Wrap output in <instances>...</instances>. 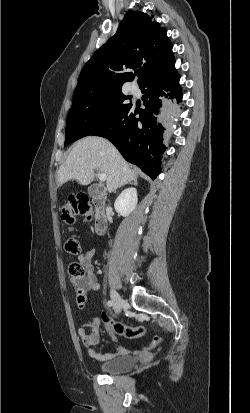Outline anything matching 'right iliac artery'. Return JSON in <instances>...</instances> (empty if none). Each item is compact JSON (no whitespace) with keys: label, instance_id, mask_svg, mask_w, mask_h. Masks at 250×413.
I'll use <instances>...</instances> for the list:
<instances>
[{"label":"right iliac artery","instance_id":"obj_1","mask_svg":"<svg viewBox=\"0 0 250 413\" xmlns=\"http://www.w3.org/2000/svg\"><path fill=\"white\" fill-rule=\"evenodd\" d=\"M112 305H113V302H112L111 300H109V301L107 302V306H108V307H112Z\"/></svg>","mask_w":250,"mask_h":413}]
</instances>
